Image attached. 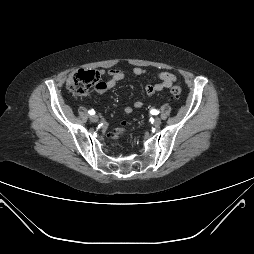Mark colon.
Here are the masks:
<instances>
[{"mask_svg": "<svg viewBox=\"0 0 254 254\" xmlns=\"http://www.w3.org/2000/svg\"><path fill=\"white\" fill-rule=\"evenodd\" d=\"M100 86V77L98 72L93 70H78L73 72L67 80V87L69 91L77 97L86 96L92 88ZM181 88L173 86L169 90V95L172 99H178L181 95ZM126 132V125L118 128L111 133L114 140H119Z\"/></svg>", "mask_w": 254, "mask_h": 254, "instance_id": "colon-1", "label": "colon"}]
</instances>
